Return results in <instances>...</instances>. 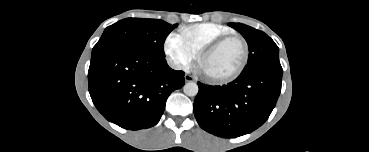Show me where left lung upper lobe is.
Returning a JSON list of instances; mask_svg holds the SVG:
<instances>
[{"label": "left lung upper lobe", "mask_w": 369, "mask_h": 152, "mask_svg": "<svg viewBox=\"0 0 369 152\" xmlns=\"http://www.w3.org/2000/svg\"><path fill=\"white\" fill-rule=\"evenodd\" d=\"M246 39L249 47L248 64L240 75H250L259 70H282L279 48L264 32L240 23H229Z\"/></svg>", "instance_id": "5c2ea615"}]
</instances>
